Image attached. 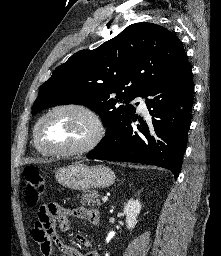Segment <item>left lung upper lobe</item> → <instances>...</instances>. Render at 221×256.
Wrapping results in <instances>:
<instances>
[{
    "label": "left lung upper lobe",
    "instance_id": "left-lung-upper-lobe-1",
    "mask_svg": "<svg viewBox=\"0 0 221 256\" xmlns=\"http://www.w3.org/2000/svg\"><path fill=\"white\" fill-rule=\"evenodd\" d=\"M186 63L181 42L171 31L153 23L132 24L58 66L40 87L32 115L56 105H84L99 114L110 132L134 115L131 100L144 97Z\"/></svg>",
    "mask_w": 221,
    "mask_h": 256
}]
</instances>
